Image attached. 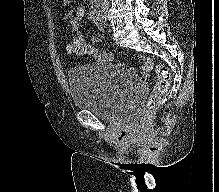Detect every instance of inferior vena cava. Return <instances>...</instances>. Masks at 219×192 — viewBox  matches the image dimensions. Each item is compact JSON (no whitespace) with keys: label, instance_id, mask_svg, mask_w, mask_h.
<instances>
[{"label":"inferior vena cava","instance_id":"602c4592","mask_svg":"<svg viewBox=\"0 0 219 192\" xmlns=\"http://www.w3.org/2000/svg\"><path fill=\"white\" fill-rule=\"evenodd\" d=\"M97 1H98V2H101L102 6L108 7L110 0H97Z\"/></svg>","mask_w":219,"mask_h":192}]
</instances>
